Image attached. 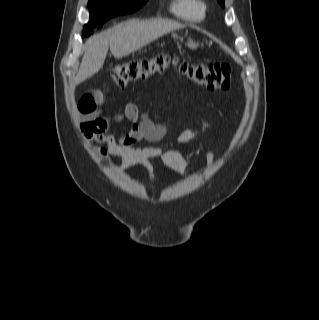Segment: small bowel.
Listing matches in <instances>:
<instances>
[{
	"mask_svg": "<svg viewBox=\"0 0 319 320\" xmlns=\"http://www.w3.org/2000/svg\"><path fill=\"white\" fill-rule=\"evenodd\" d=\"M104 98L100 91L94 90L84 95L79 101V110L82 115L80 124L83 137L86 142H98L105 144V147L96 149L98 157L107 160L109 157H118L126 168L140 166L145 172L146 180L149 184H156L153 167L150 161L160 159L175 174L182 175L188 168V161L185 158L181 147L188 144L208 130L211 125L201 114L200 128H185L180 131L176 143H170L161 147L134 146L127 142L125 136L116 138L107 134V130L112 123V117L102 113L100 105ZM125 118L132 123L133 130H140L144 125L157 128L163 134L166 127L163 124H156L147 117H142L138 108L133 103L126 104L124 108ZM215 161V154L210 152L207 155V163L212 166Z\"/></svg>",
	"mask_w": 319,
	"mask_h": 320,
	"instance_id": "1",
	"label": "small bowel"
}]
</instances>
